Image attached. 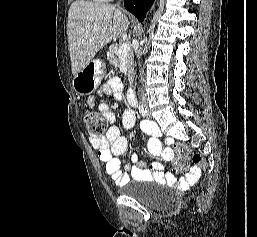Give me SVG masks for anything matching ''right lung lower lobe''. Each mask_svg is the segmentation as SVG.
Listing matches in <instances>:
<instances>
[{
  "label": "right lung lower lobe",
  "instance_id": "1",
  "mask_svg": "<svg viewBox=\"0 0 257 237\" xmlns=\"http://www.w3.org/2000/svg\"><path fill=\"white\" fill-rule=\"evenodd\" d=\"M154 0H125V8L138 18L139 21H143V18L152 5Z\"/></svg>",
  "mask_w": 257,
  "mask_h": 237
}]
</instances>
